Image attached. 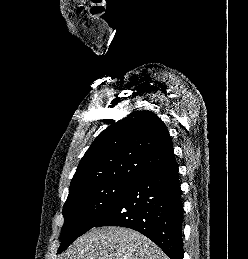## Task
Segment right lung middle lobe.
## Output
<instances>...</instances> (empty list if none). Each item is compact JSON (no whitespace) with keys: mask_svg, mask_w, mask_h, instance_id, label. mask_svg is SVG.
<instances>
[{"mask_svg":"<svg viewBox=\"0 0 248 259\" xmlns=\"http://www.w3.org/2000/svg\"><path fill=\"white\" fill-rule=\"evenodd\" d=\"M132 182L111 180L69 190L58 252L95 227L116 205Z\"/></svg>","mask_w":248,"mask_h":259,"instance_id":"1","label":"right lung middle lobe"}]
</instances>
